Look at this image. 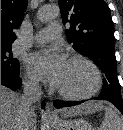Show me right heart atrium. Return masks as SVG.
<instances>
[{
  "instance_id": "right-heart-atrium-1",
  "label": "right heart atrium",
  "mask_w": 123,
  "mask_h": 130,
  "mask_svg": "<svg viewBox=\"0 0 123 130\" xmlns=\"http://www.w3.org/2000/svg\"><path fill=\"white\" fill-rule=\"evenodd\" d=\"M24 83H25L26 87L31 90H37L39 88L38 81L30 74L25 75Z\"/></svg>"
}]
</instances>
